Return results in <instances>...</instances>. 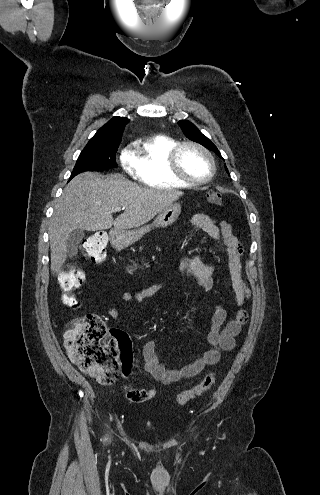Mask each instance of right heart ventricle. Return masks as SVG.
I'll list each match as a JSON object with an SVG mask.
<instances>
[{
	"label": "right heart ventricle",
	"mask_w": 320,
	"mask_h": 495,
	"mask_svg": "<svg viewBox=\"0 0 320 495\" xmlns=\"http://www.w3.org/2000/svg\"><path fill=\"white\" fill-rule=\"evenodd\" d=\"M178 142L166 135L144 139L135 152L134 175L143 185L159 189L184 188L188 185L172 175L168 155Z\"/></svg>",
	"instance_id": "1"
}]
</instances>
